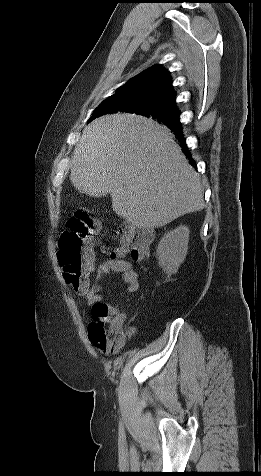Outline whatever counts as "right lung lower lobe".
<instances>
[{
    "label": "right lung lower lobe",
    "instance_id": "1",
    "mask_svg": "<svg viewBox=\"0 0 261 476\" xmlns=\"http://www.w3.org/2000/svg\"><path fill=\"white\" fill-rule=\"evenodd\" d=\"M166 126L170 130H172L174 132V134L176 135V137L179 139L180 144L182 146V151L190 159L191 164L193 165V160L191 158V155L189 154V151L187 150V145H186L185 138H183V133H182L180 122L178 121L176 123H172V124H169V125H166Z\"/></svg>",
    "mask_w": 261,
    "mask_h": 476
}]
</instances>
